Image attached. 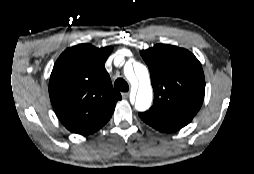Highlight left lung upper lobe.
<instances>
[{
	"mask_svg": "<svg viewBox=\"0 0 254 174\" xmlns=\"http://www.w3.org/2000/svg\"><path fill=\"white\" fill-rule=\"evenodd\" d=\"M140 54L151 75V108L193 118L205 94L204 73L197 58L186 49L167 44H157Z\"/></svg>",
	"mask_w": 254,
	"mask_h": 174,
	"instance_id": "1",
	"label": "left lung upper lobe"
}]
</instances>
